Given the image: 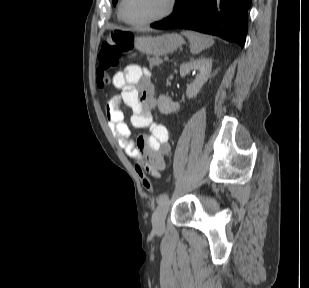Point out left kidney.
Returning <instances> with one entry per match:
<instances>
[{
    "label": "left kidney",
    "instance_id": "left-kidney-1",
    "mask_svg": "<svg viewBox=\"0 0 309 288\" xmlns=\"http://www.w3.org/2000/svg\"><path fill=\"white\" fill-rule=\"evenodd\" d=\"M194 70H198L199 74L187 86L186 96L189 99L196 97L204 83L208 80L212 70V60L201 57L199 59L186 62L180 67V75L181 77H184ZM158 108L161 113L168 114L177 111L180 108V104L172 102L165 95H160L158 98Z\"/></svg>",
    "mask_w": 309,
    "mask_h": 288
}]
</instances>
